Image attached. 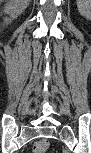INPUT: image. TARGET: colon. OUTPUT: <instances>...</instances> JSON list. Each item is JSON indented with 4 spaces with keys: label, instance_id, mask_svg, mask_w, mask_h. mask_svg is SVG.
I'll return each instance as SVG.
<instances>
[{
    "label": "colon",
    "instance_id": "1",
    "mask_svg": "<svg viewBox=\"0 0 91 153\" xmlns=\"http://www.w3.org/2000/svg\"><path fill=\"white\" fill-rule=\"evenodd\" d=\"M49 148V141L48 140H39L35 143L33 147L34 153H46Z\"/></svg>",
    "mask_w": 91,
    "mask_h": 153
}]
</instances>
